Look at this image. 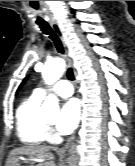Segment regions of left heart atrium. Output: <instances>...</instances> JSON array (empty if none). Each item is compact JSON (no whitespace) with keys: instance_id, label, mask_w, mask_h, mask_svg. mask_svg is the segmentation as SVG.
Returning <instances> with one entry per match:
<instances>
[{"instance_id":"1","label":"left heart atrium","mask_w":135,"mask_h":166,"mask_svg":"<svg viewBox=\"0 0 135 166\" xmlns=\"http://www.w3.org/2000/svg\"><path fill=\"white\" fill-rule=\"evenodd\" d=\"M80 117V105L78 100L66 101L59 113L56 128L61 134H69L77 127Z\"/></svg>"}]
</instances>
